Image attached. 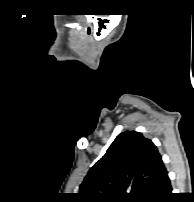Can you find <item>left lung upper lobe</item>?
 <instances>
[{
  "label": "left lung upper lobe",
  "mask_w": 194,
  "mask_h": 202,
  "mask_svg": "<svg viewBox=\"0 0 194 202\" xmlns=\"http://www.w3.org/2000/svg\"><path fill=\"white\" fill-rule=\"evenodd\" d=\"M162 157L141 133L119 134L80 185L84 202H147L165 171Z\"/></svg>",
  "instance_id": "left-lung-upper-lobe-1"
}]
</instances>
